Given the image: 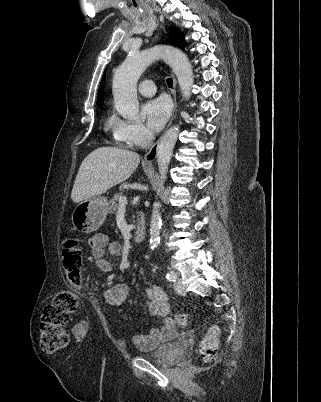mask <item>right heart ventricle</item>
Wrapping results in <instances>:
<instances>
[{
	"mask_svg": "<svg viewBox=\"0 0 321 402\" xmlns=\"http://www.w3.org/2000/svg\"><path fill=\"white\" fill-rule=\"evenodd\" d=\"M106 123L110 131L113 133L114 139L118 142L119 145L121 146L130 145L127 140V129L129 123L117 118L114 115H109L107 117Z\"/></svg>",
	"mask_w": 321,
	"mask_h": 402,
	"instance_id": "right-heart-ventricle-1",
	"label": "right heart ventricle"
}]
</instances>
